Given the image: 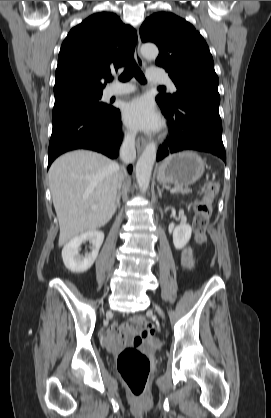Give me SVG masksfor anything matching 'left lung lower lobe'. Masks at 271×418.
<instances>
[{
    "label": "left lung lower lobe",
    "instance_id": "obj_1",
    "mask_svg": "<svg viewBox=\"0 0 271 418\" xmlns=\"http://www.w3.org/2000/svg\"><path fill=\"white\" fill-rule=\"evenodd\" d=\"M158 104L172 131L159 147L157 161L182 150H197L212 153L226 162L219 105L193 98H184L173 110Z\"/></svg>",
    "mask_w": 271,
    "mask_h": 418
}]
</instances>
